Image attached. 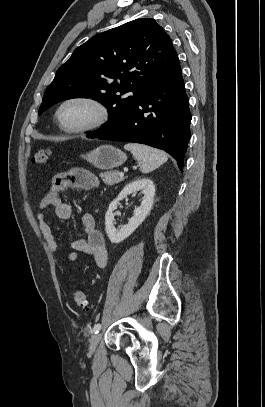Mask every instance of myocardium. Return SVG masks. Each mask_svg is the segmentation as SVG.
I'll return each mask as SVG.
<instances>
[{"label":"myocardium","instance_id":"f54148a6","mask_svg":"<svg viewBox=\"0 0 265 407\" xmlns=\"http://www.w3.org/2000/svg\"><path fill=\"white\" fill-rule=\"evenodd\" d=\"M74 103H79L90 107L93 110L92 118L80 125H69L61 120L62 110ZM54 118L60 130L68 134H82L97 130L103 127L110 118L108 106L96 97L89 95H73L63 99L56 107Z\"/></svg>","mask_w":265,"mask_h":407}]
</instances>
